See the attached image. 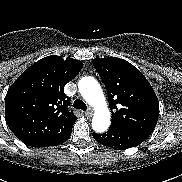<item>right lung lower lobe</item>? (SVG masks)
Masks as SVG:
<instances>
[{"mask_svg": "<svg viewBox=\"0 0 182 182\" xmlns=\"http://www.w3.org/2000/svg\"><path fill=\"white\" fill-rule=\"evenodd\" d=\"M72 132V128L70 130H68L67 132L58 135L54 138H50V139H46L40 142H36V143H32L29 146L32 147H46V146H56L58 144H62L65 141H67V139L70 137Z\"/></svg>", "mask_w": 182, "mask_h": 182, "instance_id": "1", "label": "right lung lower lobe"}]
</instances>
